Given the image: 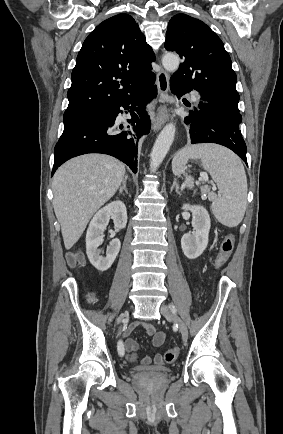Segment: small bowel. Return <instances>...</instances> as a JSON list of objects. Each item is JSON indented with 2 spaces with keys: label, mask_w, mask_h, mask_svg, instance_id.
<instances>
[{
  "label": "small bowel",
  "mask_w": 283,
  "mask_h": 434,
  "mask_svg": "<svg viewBox=\"0 0 283 434\" xmlns=\"http://www.w3.org/2000/svg\"><path fill=\"white\" fill-rule=\"evenodd\" d=\"M139 325H142L146 333L152 338V344L155 348H159L163 345L165 341V334L159 331L154 325L149 323L135 322L132 323L125 331L124 336H129L131 332ZM139 345L136 340L128 338L125 341L124 350L127 353V359L131 363H136L138 361L137 350ZM163 364V359L160 354H155L153 357L146 356L142 359V365L144 366H161Z\"/></svg>",
  "instance_id": "obj_1"
}]
</instances>
